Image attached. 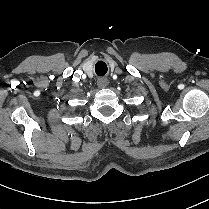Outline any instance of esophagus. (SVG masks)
I'll use <instances>...</instances> for the list:
<instances>
[{"label": "esophagus", "mask_w": 209, "mask_h": 209, "mask_svg": "<svg viewBox=\"0 0 209 209\" xmlns=\"http://www.w3.org/2000/svg\"><path fill=\"white\" fill-rule=\"evenodd\" d=\"M97 85L99 88H105L108 85V79L107 78H99L97 81Z\"/></svg>", "instance_id": "esophagus-1"}]
</instances>
